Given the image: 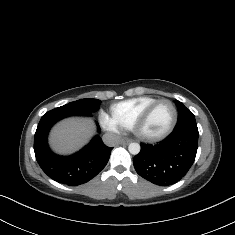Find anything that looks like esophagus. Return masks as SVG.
<instances>
[{
  "label": "esophagus",
  "mask_w": 235,
  "mask_h": 235,
  "mask_svg": "<svg viewBox=\"0 0 235 235\" xmlns=\"http://www.w3.org/2000/svg\"><path fill=\"white\" fill-rule=\"evenodd\" d=\"M131 142H132L131 139L123 138V139L120 141V144H122V145H128V144L131 143Z\"/></svg>",
  "instance_id": "1"
}]
</instances>
